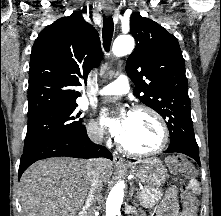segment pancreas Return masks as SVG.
Segmentation results:
<instances>
[{
  "label": "pancreas",
  "mask_w": 221,
  "mask_h": 216,
  "mask_svg": "<svg viewBox=\"0 0 221 216\" xmlns=\"http://www.w3.org/2000/svg\"><path fill=\"white\" fill-rule=\"evenodd\" d=\"M162 191L153 187H145L144 193L138 196L140 205L145 208L153 207L162 197Z\"/></svg>",
  "instance_id": "obj_1"
}]
</instances>
